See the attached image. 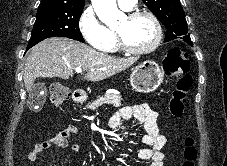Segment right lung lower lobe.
<instances>
[{
	"mask_svg": "<svg viewBox=\"0 0 227 166\" xmlns=\"http://www.w3.org/2000/svg\"><path fill=\"white\" fill-rule=\"evenodd\" d=\"M31 47H32V46H28V47H27V50H28L29 48H31Z\"/></svg>",
	"mask_w": 227,
	"mask_h": 166,
	"instance_id": "98d812e1",
	"label": "right lung lower lobe"
}]
</instances>
